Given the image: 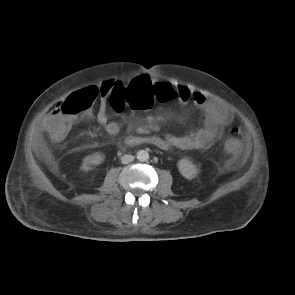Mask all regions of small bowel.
Wrapping results in <instances>:
<instances>
[{
  "label": "small bowel",
  "instance_id": "1",
  "mask_svg": "<svg viewBox=\"0 0 295 295\" xmlns=\"http://www.w3.org/2000/svg\"><path fill=\"white\" fill-rule=\"evenodd\" d=\"M105 84L101 86L103 99L96 115V120L109 134L116 135L120 131V125L116 121H111L109 119L107 95L104 93ZM145 84H149L152 87L160 84L171 85L180 104L185 105L192 102L196 107L204 112V126L201 129L187 135L167 134L164 137L129 136L125 139L126 145L134 146L141 143H148L162 150H169L172 147L181 150L204 149L209 147L215 141L220 130L224 126L228 125L232 119L231 113L224 105L207 99L201 92L191 89L183 83L170 84L159 81L148 75L141 74L129 80L125 87H144ZM55 117L56 113L54 110L44 119L42 126L47 133ZM237 154H234V156ZM236 163L237 158L235 157L228 161L230 166H234Z\"/></svg>",
  "mask_w": 295,
  "mask_h": 295
}]
</instances>
